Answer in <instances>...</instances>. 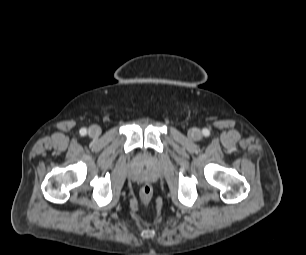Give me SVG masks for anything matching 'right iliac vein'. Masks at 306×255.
<instances>
[{
    "mask_svg": "<svg viewBox=\"0 0 306 255\" xmlns=\"http://www.w3.org/2000/svg\"><path fill=\"white\" fill-rule=\"evenodd\" d=\"M88 134L90 137H98L101 134V128L97 125H93L89 128Z\"/></svg>",
    "mask_w": 306,
    "mask_h": 255,
    "instance_id": "obj_1",
    "label": "right iliac vein"
}]
</instances>
